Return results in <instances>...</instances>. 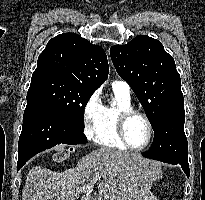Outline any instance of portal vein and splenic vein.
Masks as SVG:
<instances>
[{"mask_svg":"<svg viewBox=\"0 0 205 200\" xmlns=\"http://www.w3.org/2000/svg\"><path fill=\"white\" fill-rule=\"evenodd\" d=\"M102 174L103 172L97 173L95 179L101 177ZM92 187H93L92 184H88L87 186L81 188V192L85 193L88 196L92 191Z\"/></svg>","mask_w":205,"mask_h":200,"instance_id":"1","label":"portal vein and splenic vein"}]
</instances>
